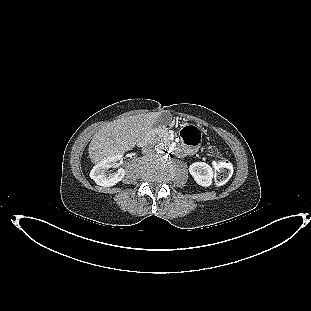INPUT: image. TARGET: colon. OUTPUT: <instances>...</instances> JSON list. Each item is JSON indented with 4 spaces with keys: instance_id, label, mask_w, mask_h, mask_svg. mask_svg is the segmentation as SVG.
Instances as JSON below:
<instances>
[{
    "instance_id": "obj_1",
    "label": "colon",
    "mask_w": 311,
    "mask_h": 311,
    "mask_svg": "<svg viewBox=\"0 0 311 311\" xmlns=\"http://www.w3.org/2000/svg\"><path fill=\"white\" fill-rule=\"evenodd\" d=\"M182 137L189 145H195L199 142L200 134L199 132H194L192 127L188 126L182 130ZM213 165L215 170V183L218 185L225 183L232 174L231 163L225 159H218L214 161Z\"/></svg>"
}]
</instances>
